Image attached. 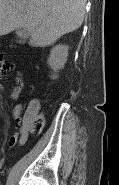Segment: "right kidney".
<instances>
[{
  "instance_id": "right-kidney-1",
  "label": "right kidney",
  "mask_w": 119,
  "mask_h": 185,
  "mask_svg": "<svg viewBox=\"0 0 119 185\" xmlns=\"http://www.w3.org/2000/svg\"><path fill=\"white\" fill-rule=\"evenodd\" d=\"M67 57L68 46L57 45L51 50L47 63L54 72H57L64 67ZM53 78H56V76H53Z\"/></svg>"
}]
</instances>
